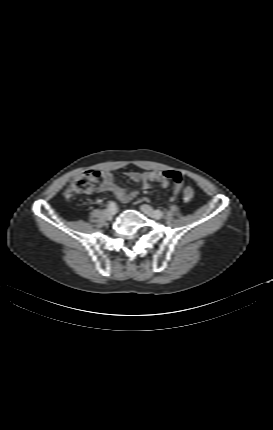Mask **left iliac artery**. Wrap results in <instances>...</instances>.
<instances>
[{"mask_svg":"<svg viewBox=\"0 0 273 430\" xmlns=\"http://www.w3.org/2000/svg\"><path fill=\"white\" fill-rule=\"evenodd\" d=\"M156 214H157V216H158L159 218H161V217H162V212H161V211L156 210Z\"/></svg>","mask_w":273,"mask_h":430,"instance_id":"44dca946","label":"left iliac artery"}]
</instances>
